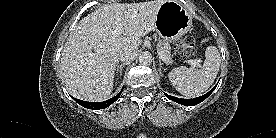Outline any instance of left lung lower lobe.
<instances>
[{
    "instance_id": "1",
    "label": "left lung lower lobe",
    "mask_w": 276,
    "mask_h": 138,
    "mask_svg": "<svg viewBox=\"0 0 276 138\" xmlns=\"http://www.w3.org/2000/svg\"><path fill=\"white\" fill-rule=\"evenodd\" d=\"M216 86L212 90H210L208 93L204 94L203 96L193 98V99H179L177 97L170 96L166 93H165V95L168 99L173 100L181 105L193 106V105H197V104L201 103L202 101H204L214 91Z\"/></svg>"
}]
</instances>
